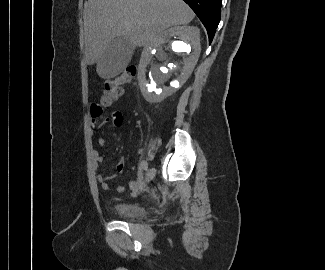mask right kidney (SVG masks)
<instances>
[{
	"label": "right kidney",
	"mask_w": 325,
	"mask_h": 270,
	"mask_svg": "<svg viewBox=\"0 0 325 270\" xmlns=\"http://www.w3.org/2000/svg\"><path fill=\"white\" fill-rule=\"evenodd\" d=\"M200 51L197 27L177 26L166 30L141 56L138 81L145 100L150 103L160 102L181 87L191 75ZM153 56L159 62H155ZM170 80L169 86H166L165 83Z\"/></svg>",
	"instance_id": "right-kidney-1"
}]
</instances>
